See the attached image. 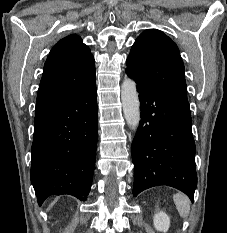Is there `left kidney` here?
<instances>
[{
	"label": "left kidney",
	"instance_id": "5707ae66",
	"mask_svg": "<svg viewBox=\"0 0 227 233\" xmlns=\"http://www.w3.org/2000/svg\"><path fill=\"white\" fill-rule=\"evenodd\" d=\"M153 222H154V227L158 231L165 233L169 229L170 218L165 212L156 213Z\"/></svg>",
	"mask_w": 227,
	"mask_h": 233
}]
</instances>
